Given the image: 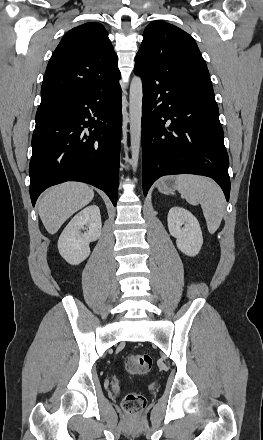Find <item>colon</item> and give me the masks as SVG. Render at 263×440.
I'll use <instances>...</instances> for the list:
<instances>
[{
	"instance_id": "obj_1",
	"label": "colon",
	"mask_w": 263,
	"mask_h": 440,
	"mask_svg": "<svg viewBox=\"0 0 263 440\" xmlns=\"http://www.w3.org/2000/svg\"><path fill=\"white\" fill-rule=\"evenodd\" d=\"M152 365L153 359L147 353H131L125 358V369L130 375H144ZM122 407L129 414H139L146 407V398L140 393L129 392L122 400Z\"/></svg>"
}]
</instances>
